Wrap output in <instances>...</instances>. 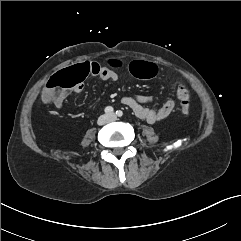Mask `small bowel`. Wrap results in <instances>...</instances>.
I'll list each match as a JSON object with an SVG mask.
<instances>
[{"instance_id": "c3829d8e", "label": "small bowel", "mask_w": 241, "mask_h": 241, "mask_svg": "<svg viewBox=\"0 0 241 241\" xmlns=\"http://www.w3.org/2000/svg\"><path fill=\"white\" fill-rule=\"evenodd\" d=\"M91 66V71L89 74L99 77L102 81H112L115 82L118 80V73L106 66L101 65L98 62H89ZM184 88V86L179 85L177 87V92ZM83 89V84H79L75 87L74 91L79 93ZM66 96V94H65ZM65 98V97H64ZM121 103L130 109L133 110L134 114L148 123H156L165 118H167L173 111L175 103L173 100H167L160 108L152 109L148 107V104L151 102V98L148 96H124L121 98ZM63 101L55 102L57 108H61Z\"/></svg>"}]
</instances>
